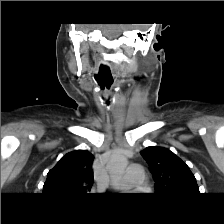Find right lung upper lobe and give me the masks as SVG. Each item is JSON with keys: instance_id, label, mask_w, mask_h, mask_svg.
Returning <instances> with one entry per match:
<instances>
[{"instance_id": "obj_1", "label": "right lung upper lobe", "mask_w": 224, "mask_h": 224, "mask_svg": "<svg viewBox=\"0 0 224 224\" xmlns=\"http://www.w3.org/2000/svg\"><path fill=\"white\" fill-rule=\"evenodd\" d=\"M94 156L87 150H76L63 156L47 174L43 193L84 195L93 184Z\"/></svg>"}]
</instances>
